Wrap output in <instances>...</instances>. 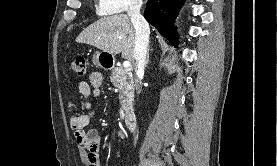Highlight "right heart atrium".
Here are the masks:
<instances>
[{
	"mask_svg": "<svg viewBox=\"0 0 277 166\" xmlns=\"http://www.w3.org/2000/svg\"><path fill=\"white\" fill-rule=\"evenodd\" d=\"M141 0H97V10L101 14H118L137 10Z\"/></svg>",
	"mask_w": 277,
	"mask_h": 166,
	"instance_id": "d8ad5b80",
	"label": "right heart atrium"
}]
</instances>
